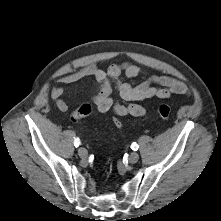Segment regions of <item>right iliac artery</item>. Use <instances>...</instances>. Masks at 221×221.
<instances>
[{"instance_id":"obj_1","label":"right iliac artery","mask_w":221,"mask_h":221,"mask_svg":"<svg viewBox=\"0 0 221 221\" xmlns=\"http://www.w3.org/2000/svg\"><path fill=\"white\" fill-rule=\"evenodd\" d=\"M80 145V140L78 139V138H76L75 140H74V146L75 147H78Z\"/></svg>"}]
</instances>
